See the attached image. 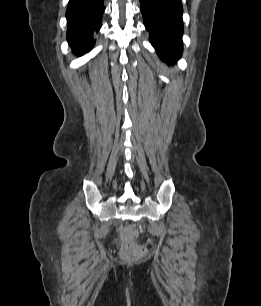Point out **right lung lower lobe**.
Listing matches in <instances>:
<instances>
[{
  "instance_id": "right-lung-lower-lobe-1",
  "label": "right lung lower lobe",
  "mask_w": 261,
  "mask_h": 306,
  "mask_svg": "<svg viewBox=\"0 0 261 306\" xmlns=\"http://www.w3.org/2000/svg\"><path fill=\"white\" fill-rule=\"evenodd\" d=\"M104 9L103 0L69 1L66 12L67 39L76 54L81 56L93 47V32L101 27Z\"/></svg>"
}]
</instances>
